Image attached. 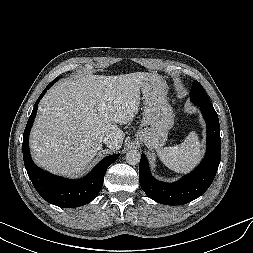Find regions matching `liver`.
I'll list each match as a JSON object with an SVG mask.
<instances>
[{"mask_svg": "<svg viewBox=\"0 0 253 253\" xmlns=\"http://www.w3.org/2000/svg\"><path fill=\"white\" fill-rule=\"evenodd\" d=\"M157 74L134 72L119 76L79 75L53 86L40 101L30 134L35 163L54 174L78 177L112 138L121 148L124 132L117 124L139 111L140 89Z\"/></svg>", "mask_w": 253, "mask_h": 253, "instance_id": "liver-1", "label": "liver"}]
</instances>
